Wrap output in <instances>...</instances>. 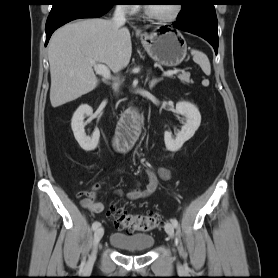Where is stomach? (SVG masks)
Returning a JSON list of instances; mask_svg holds the SVG:
<instances>
[{
	"instance_id": "1",
	"label": "stomach",
	"mask_w": 278,
	"mask_h": 278,
	"mask_svg": "<svg viewBox=\"0 0 278 278\" xmlns=\"http://www.w3.org/2000/svg\"><path fill=\"white\" fill-rule=\"evenodd\" d=\"M140 39L148 55L161 65L177 66L186 57L187 44L179 32L166 30L162 33L141 35Z\"/></svg>"
}]
</instances>
